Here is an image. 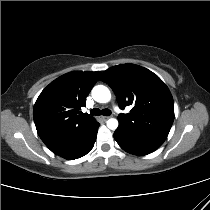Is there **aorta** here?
<instances>
[{
	"label": "aorta",
	"mask_w": 210,
	"mask_h": 210,
	"mask_svg": "<svg viewBox=\"0 0 210 210\" xmlns=\"http://www.w3.org/2000/svg\"><path fill=\"white\" fill-rule=\"evenodd\" d=\"M92 98L99 103H107L111 99L110 90L104 85L94 86L92 91ZM107 127L111 130H116L118 127V120L111 118L107 121Z\"/></svg>",
	"instance_id": "762f6f07"
}]
</instances>
